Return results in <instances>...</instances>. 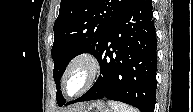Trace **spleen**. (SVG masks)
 I'll use <instances>...</instances> for the list:
<instances>
[{
  "label": "spleen",
  "instance_id": "obj_1",
  "mask_svg": "<svg viewBox=\"0 0 193 112\" xmlns=\"http://www.w3.org/2000/svg\"><path fill=\"white\" fill-rule=\"evenodd\" d=\"M108 105L114 110V112H138L137 109L129 105L109 100Z\"/></svg>",
  "mask_w": 193,
  "mask_h": 112
}]
</instances>
